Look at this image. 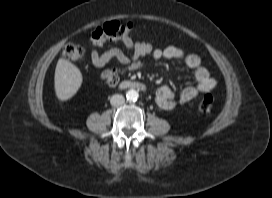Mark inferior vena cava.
<instances>
[{"label":"inferior vena cava","mask_w":272,"mask_h":198,"mask_svg":"<svg viewBox=\"0 0 272 198\" xmlns=\"http://www.w3.org/2000/svg\"><path fill=\"white\" fill-rule=\"evenodd\" d=\"M124 102H125V98L123 95H120V94H115L110 99L111 105L115 107L124 104Z\"/></svg>","instance_id":"inferior-vena-cava-1"}]
</instances>
